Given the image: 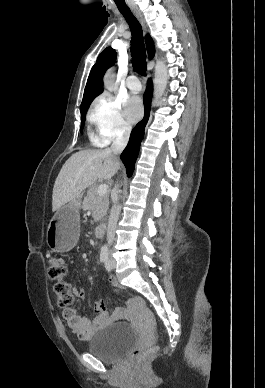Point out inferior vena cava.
Here are the masks:
<instances>
[{"label": "inferior vena cava", "instance_id": "1", "mask_svg": "<svg viewBox=\"0 0 265 388\" xmlns=\"http://www.w3.org/2000/svg\"><path fill=\"white\" fill-rule=\"evenodd\" d=\"M131 130H132L131 126H127V128H125V132H123L122 136H116V138H115V140L110 148V150H111L112 154H114V156H118V154H121V152H123L124 148H126L128 142H129ZM118 198H119L118 186H115V188L112 192V196H111L113 206H112V210L110 212L109 222H108V226H107L108 246H112V244H113L115 230H116V226H117V222H118V218H119V214H120V208L118 206Z\"/></svg>", "mask_w": 265, "mask_h": 388}]
</instances>
